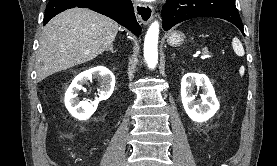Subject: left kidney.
Listing matches in <instances>:
<instances>
[{
	"label": "left kidney",
	"instance_id": "1",
	"mask_svg": "<svg viewBox=\"0 0 277 166\" xmlns=\"http://www.w3.org/2000/svg\"><path fill=\"white\" fill-rule=\"evenodd\" d=\"M201 87V99L195 101L192 94L194 86ZM181 100L189 118L195 122L202 123L209 120L219 109L214 88L204 74L187 73L181 80Z\"/></svg>",
	"mask_w": 277,
	"mask_h": 166
}]
</instances>
